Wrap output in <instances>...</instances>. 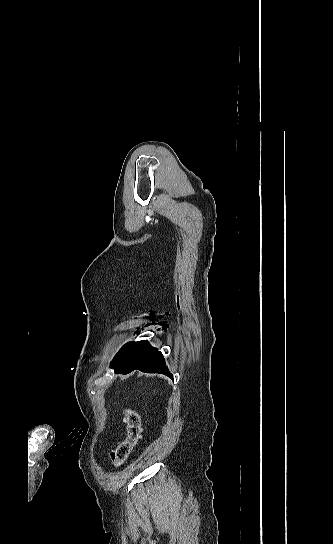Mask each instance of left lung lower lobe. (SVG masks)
Wrapping results in <instances>:
<instances>
[{
	"label": "left lung lower lobe",
	"instance_id": "obj_1",
	"mask_svg": "<svg viewBox=\"0 0 333 544\" xmlns=\"http://www.w3.org/2000/svg\"><path fill=\"white\" fill-rule=\"evenodd\" d=\"M111 367L114 368L115 373L120 374H128L138 369L147 373H163L172 378V375L167 372L162 353L147 342L134 347L125 345L111 362Z\"/></svg>",
	"mask_w": 333,
	"mask_h": 544
}]
</instances>
